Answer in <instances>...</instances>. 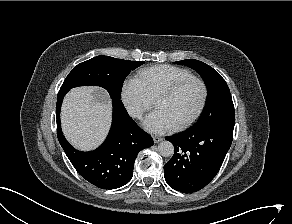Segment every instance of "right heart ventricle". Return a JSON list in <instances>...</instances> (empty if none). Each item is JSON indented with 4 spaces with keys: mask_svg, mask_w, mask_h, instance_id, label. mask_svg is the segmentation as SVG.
Segmentation results:
<instances>
[{
    "mask_svg": "<svg viewBox=\"0 0 292 224\" xmlns=\"http://www.w3.org/2000/svg\"><path fill=\"white\" fill-rule=\"evenodd\" d=\"M191 76L193 73L185 68L160 64L141 69L136 79L154 100L166 87Z\"/></svg>",
    "mask_w": 292,
    "mask_h": 224,
    "instance_id": "1",
    "label": "right heart ventricle"
}]
</instances>
